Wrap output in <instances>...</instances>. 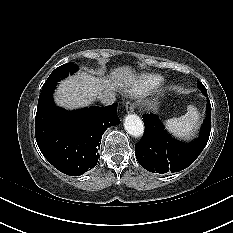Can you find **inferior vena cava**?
Returning <instances> with one entry per match:
<instances>
[{
	"instance_id": "602c4592",
	"label": "inferior vena cava",
	"mask_w": 233,
	"mask_h": 233,
	"mask_svg": "<svg viewBox=\"0 0 233 233\" xmlns=\"http://www.w3.org/2000/svg\"><path fill=\"white\" fill-rule=\"evenodd\" d=\"M98 99L103 105H111L116 100L115 94L113 92L101 93L98 95Z\"/></svg>"
}]
</instances>
